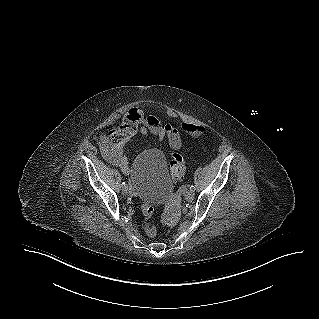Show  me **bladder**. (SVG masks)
Here are the masks:
<instances>
[{
	"label": "bladder",
	"instance_id": "31cf9c89",
	"mask_svg": "<svg viewBox=\"0 0 319 319\" xmlns=\"http://www.w3.org/2000/svg\"><path fill=\"white\" fill-rule=\"evenodd\" d=\"M138 196L150 206L166 202L172 191L165 154L158 149L141 152L130 169Z\"/></svg>",
	"mask_w": 319,
	"mask_h": 319
}]
</instances>
